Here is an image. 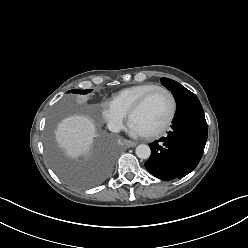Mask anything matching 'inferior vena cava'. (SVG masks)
I'll return each instance as SVG.
<instances>
[{
  "mask_svg": "<svg viewBox=\"0 0 248 248\" xmlns=\"http://www.w3.org/2000/svg\"><path fill=\"white\" fill-rule=\"evenodd\" d=\"M108 129H109L111 132L118 133V132H120V130H121V125H120V124H117V123H114V122H110V123L108 124Z\"/></svg>",
  "mask_w": 248,
  "mask_h": 248,
  "instance_id": "inferior-vena-cava-1",
  "label": "inferior vena cava"
}]
</instances>
